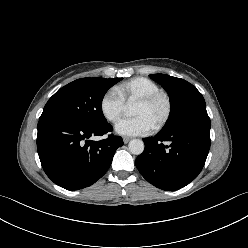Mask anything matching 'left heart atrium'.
Here are the masks:
<instances>
[{"mask_svg":"<svg viewBox=\"0 0 248 248\" xmlns=\"http://www.w3.org/2000/svg\"><path fill=\"white\" fill-rule=\"evenodd\" d=\"M154 126L144 116L121 119L115 125V131L123 136H139L149 134Z\"/></svg>","mask_w":248,"mask_h":248,"instance_id":"1","label":"left heart atrium"}]
</instances>
